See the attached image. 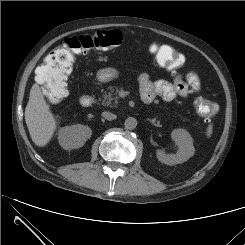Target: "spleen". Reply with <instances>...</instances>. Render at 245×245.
<instances>
[{
    "label": "spleen",
    "mask_w": 245,
    "mask_h": 245,
    "mask_svg": "<svg viewBox=\"0 0 245 245\" xmlns=\"http://www.w3.org/2000/svg\"><path fill=\"white\" fill-rule=\"evenodd\" d=\"M206 135H207L208 138L211 137V135H212V125H209L207 127Z\"/></svg>",
    "instance_id": "1"
}]
</instances>
